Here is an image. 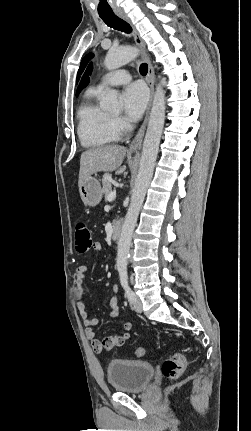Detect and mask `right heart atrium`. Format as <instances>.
<instances>
[{
    "label": "right heart atrium",
    "mask_w": 251,
    "mask_h": 431,
    "mask_svg": "<svg viewBox=\"0 0 251 431\" xmlns=\"http://www.w3.org/2000/svg\"><path fill=\"white\" fill-rule=\"evenodd\" d=\"M113 126L118 134H122L129 129V123L121 117H113Z\"/></svg>",
    "instance_id": "obj_1"
}]
</instances>
